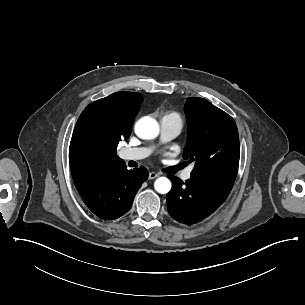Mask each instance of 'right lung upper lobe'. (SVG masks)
I'll list each match as a JSON object with an SVG mask.
<instances>
[{"label": "right lung upper lobe", "mask_w": 305, "mask_h": 305, "mask_svg": "<svg viewBox=\"0 0 305 305\" xmlns=\"http://www.w3.org/2000/svg\"><path fill=\"white\" fill-rule=\"evenodd\" d=\"M142 97L139 93L116 92L89 104L80 115L70 142L69 161L77 189L107 170L124 166L116 148L131 134Z\"/></svg>", "instance_id": "obj_1"}]
</instances>
